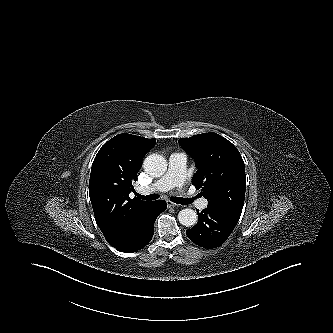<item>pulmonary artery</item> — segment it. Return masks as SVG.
<instances>
[{"label":"pulmonary artery","instance_id":"1","mask_svg":"<svg viewBox=\"0 0 333 333\" xmlns=\"http://www.w3.org/2000/svg\"><path fill=\"white\" fill-rule=\"evenodd\" d=\"M186 157L182 153H173L169 158V169L165 176L152 184L151 186L142 190V193L165 192L172 187L181 188L185 178ZM207 200L200 199L197 206L200 209L207 207Z\"/></svg>","mask_w":333,"mask_h":333}]
</instances>
